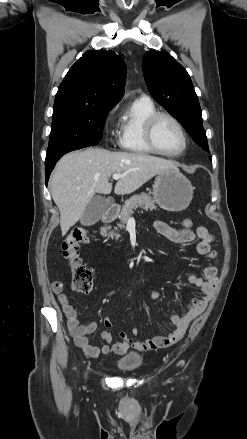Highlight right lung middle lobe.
Wrapping results in <instances>:
<instances>
[{
    "instance_id": "dd1d6c3e",
    "label": "right lung middle lobe",
    "mask_w": 247,
    "mask_h": 439,
    "mask_svg": "<svg viewBox=\"0 0 247 439\" xmlns=\"http://www.w3.org/2000/svg\"><path fill=\"white\" fill-rule=\"evenodd\" d=\"M112 108L60 106L53 108L45 167L64 154L94 146L102 138L107 113Z\"/></svg>"
}]
</instances>
